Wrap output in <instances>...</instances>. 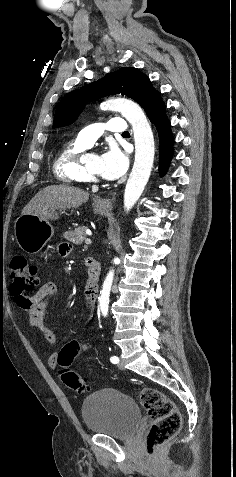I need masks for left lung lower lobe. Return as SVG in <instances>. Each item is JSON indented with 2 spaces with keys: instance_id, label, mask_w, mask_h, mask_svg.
<instances>
[{
  "instance_id": "1",
  "label": "left lung lower lobe",
  "mask_w": 236,
  "mask_h": 477,
  "mask_svg": "<svg viewBox=\"0 0 236 477\" xmlns=\"http://www.w3.org/2000/svg\"><path fill=\"white\" fill-rule=\"evenodd\" d=\"M146 113L149 119L154 123L159 135L160 142V163L159 172L165 174L173 154V136L170 130V124L165 114V105L159 92L155 94L152 102L148 106Z\"/></svg>"
}]
</instances>
